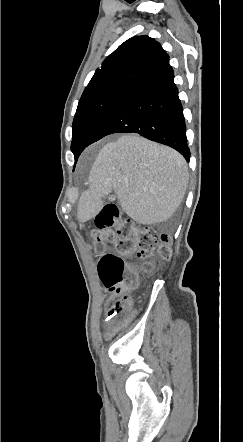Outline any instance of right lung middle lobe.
I'll return each instance as SVG.
<instances>
[{
    "instance_id": "obj_1",
    "label": "right lung middle lobe",
    "mask_w": 243,
    "mask_h": 442,
    "mask_svg": "<svg viewBox=\"0 0 243 442\" xmlns=\"http://www.w3.org/2000/svg\"><path fill=\"white\" fill-rule=\"evenodd\" d=\"M129 93L130 91H116L79 102L72 125L71 150L75 163L102 121Z\"/></svg>"
}]
</instances>
